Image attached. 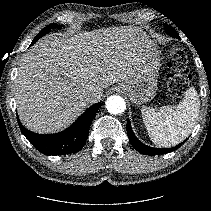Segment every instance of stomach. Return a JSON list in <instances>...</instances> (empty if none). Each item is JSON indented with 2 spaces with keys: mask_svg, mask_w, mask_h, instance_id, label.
Masks as SVG:
<instances>
[{
  "mask_svg": "<svg viewBox=\"0 0 211 211\" xmlns=\"http://www.w3.org/2000/svg\"><path fill=\"white\" fill-rule=\"evenodd\" d=\"M146 40L147 48L136 75L118 85V88L126 92L130 101L137 106L149 102L155 97L161 66L157 44L151 39Z\"/></svg>",
  "mask_w": 211,
  "mask_h": 211,
  "instance_id": "stomach-1",
  "label": "stomach"
}]
</instances>
